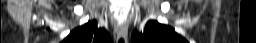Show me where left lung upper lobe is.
Instances as JSON below:
<instances>
[{
	"label": "left lung upper lobe",
	"mask_w": 256,
	"mask_h": 43,
	"mask_svg": "<svg viewBox=\"0 0 256 43\" xmlns=\"http://www.w3.org/2000/svg\"><path fill=\"white\" fill-rule=\"evenodd\" d=\"M131 41L132 43H187L173 28L153 20L147 22L143 32L135 31Z\"/></svg>",
	"instance_id": "5c2ea615"
}]
</instances>
